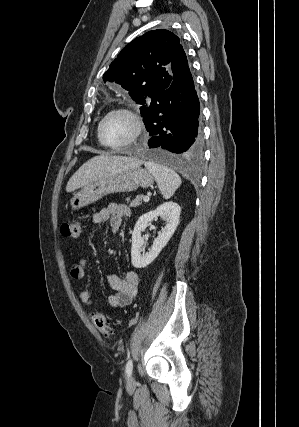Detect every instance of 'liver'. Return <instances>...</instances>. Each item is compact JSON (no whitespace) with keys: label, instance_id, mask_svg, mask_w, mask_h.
I'll list each match as a JSON object with an SVG mask.
<instances>
[{"label":"liver","instance_id":"liver-1","mask_svg":"<svg viewBox=\"0 0 299 427\" xmlns=\"http://www.w3.org/2000/svg\"><path fill=\"white\" fill-rule=\"evenodd\" d=\"M143 161L132 157L100 154L85 162L69 179L66 191L72 192L106 176L140 167Z\"/></svg>","mask_w":299,"mask_h":427}]
</instances>
